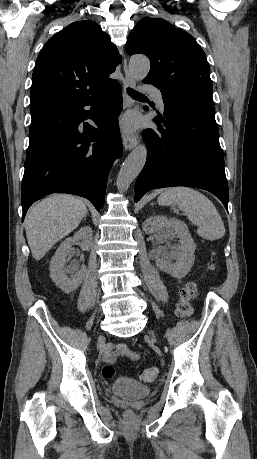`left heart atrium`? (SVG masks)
Instances as JSON below:
<instances>
[{
    "label": "left heart atrium",
    "instance_id": "39dd6f15",
    "mask_svg": "<svg viewBox=\"0 0 257 459\" xmlns=\"http://www.w3.org/2000/svg\"><path fill=\"white\" fill-rule=\"evenodd\" d=\"M138 128V120L135 116H127L122 121V129L125 133H133Z\"/></svg>",
    "mask_w": 257,
    "mask_h": 459
}]
</instances>
